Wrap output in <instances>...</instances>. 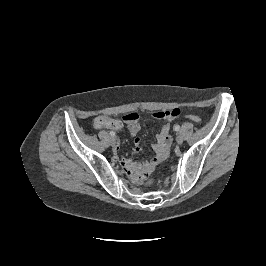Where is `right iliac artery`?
Returning <instances> with one entry per match:
<instances>
[{"instance_id":"1","label":"right iliac artery","mask_w":266,"mask_h":266,"mask_svg":"<svg viewBox=\"0 0 266 266\" xmlns=\"http://www.w3.org/2000/svg\"><path fill=\"white\" fill-rule=\"evenodd\" d=\"M110 136H112V137H114L116 134H115V132H113V131H111L110 133Z\"/></svg>"}]
</instances>
